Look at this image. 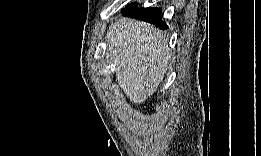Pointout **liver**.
Listing matches in <instances>:
<instances>
[{"mask_svg":"<svg viewBox=\"0 0 261 156\" xmlns=\"http://www.w3.org/2000/svg\"><path fill=\"white\" fill-rule=\"evenodd\" d=\"M108 57L116 64V80L135 104L157 90L170 54L162 33L140 21L119 19L106 35Z\"/></svg>","mask_w":261,"mask_h":156,"instance_id":"1","label":"liver"}]
</instances>
